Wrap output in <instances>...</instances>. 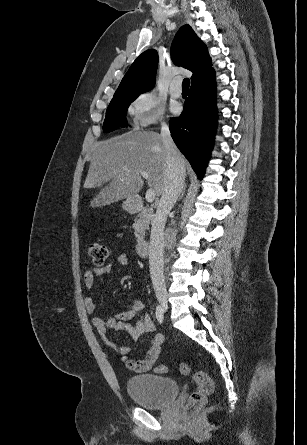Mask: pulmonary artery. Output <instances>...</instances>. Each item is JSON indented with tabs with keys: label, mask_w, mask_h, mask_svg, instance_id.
I'll list each match as a JSON object with an SVG mask.
<instances>
[{
	"label": "pulmonary artery",
	"mask_w": 307,
	"mask_h": 445,
	"mask_svg": "<svg viewBox=\"0 0 307 445\" xmlns=\"http://www.w3.org/2000/svg\"><path fill=\"white\" fill-rule=\"evenodd\" d=\"M180 80H181V76H176L175 81L170 82L171 93L175 97H179L181 95L180 90L183 89V82Z\"/></svg>",
	"instance_id": "pulmonary-artery-1"
}]
</instances>
